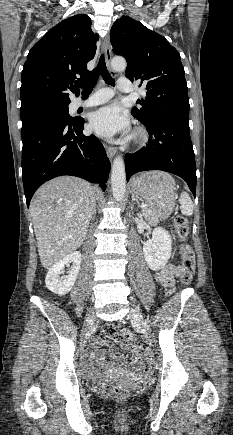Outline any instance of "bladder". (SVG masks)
Here are the masks:
<instances>
[{
  "label": "bladder",
  "instance_id": "obj_1",
  "mask_svg": "<svg viewBox=\"0 0 233 435\" xmlns=\"http://www.w3.org/2000/svg\"><path fill=\"white\" fill-rule=\"evenodd\" d=\"M87 380L92 382L95 381L96 379L88 378Z\"/></svg>",
  "mask_w": 233,
  "mask_h": 435
}]
</instances>
